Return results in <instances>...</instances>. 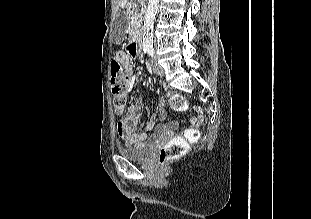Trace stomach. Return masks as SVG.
<instances>
[{
    "label": "stomach",
    "instance_id": "1",
    "mask_svg": "<svg viewBox=\"0 0 311 219\" xmlns=\"http://www.w3.org/2000/svg\"><path fill=\"white\" fill-rule=\"evenodd\" d=\"M122 14H119L118 16H121ZM122 16H124L125 17V19H127V17H126V15H122Z\"/></svg>",
    "mask_w": 311,
    "mask_h": 219
}]
</instances>
